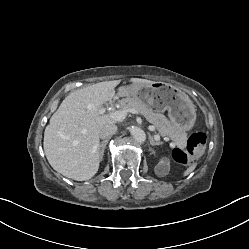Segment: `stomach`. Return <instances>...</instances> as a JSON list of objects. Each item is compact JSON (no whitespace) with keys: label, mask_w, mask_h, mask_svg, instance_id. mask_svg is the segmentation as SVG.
I'll return each instance as SVG.
<instances>
[{"label":"stomach","mask_w":249,"mask_h":249,"mask_svg":"<svg viewBox=\"0 0 249 249\" xmlns=\"http://www.w3.org/2000/svg\"><path fill=\"white\" fill-rule=\"evenodd\" d=\"M117 93L131 95L156 112L168 111L171 122L183 131L190 130L196 121V109L189 96L180 89L162 82L152 84L133 83L118 87Z\"/></svg>","instance_id":"obj_1"}]
</instances>
